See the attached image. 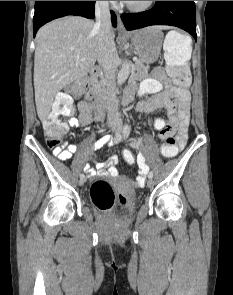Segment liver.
I'll return each instance as SVG.
<instances>
[{"mask_svg": "<svg viewBox=\"0 0 233 295\" xmlns=\"http://www.w3.org/2000/svg\"><path fill=\"white\" fill-rule=\"evenodd\" d=\"M160 29H168L160 26ZM114 38V32L111 30ZM34 90L37 114L45 120L54 98L67 85L85 77L98 60L95 23L67 16L42 26L36 35ZM84 58L85 61H81Z\"/></svg>", "mask_w": 233, "mask_h": 295, "instance_id": "obj_1", "label": "liver"}]
</instances>
